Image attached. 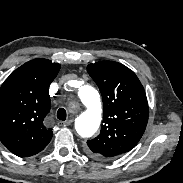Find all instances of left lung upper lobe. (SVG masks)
<instances>
[{
  "instance_id": "5c2ea615",
  "label": "left lung upper lobe",
  "mask_w": 183,
  "mask_h": 183,
  "mask_svg": "<svg viewBox=\"0 0 183 183\" xmlns=\"http://www.w3.org/2000/svg\"><path fill=\"white\" fill-rule=\"evenodd\" d=\"M87 71L102 95L103 125L86 149L100 159H113L141 139L148 121L146 94L135 73L121 63L99 61L89 64Z\"/></svg>"
}]
</instances>
